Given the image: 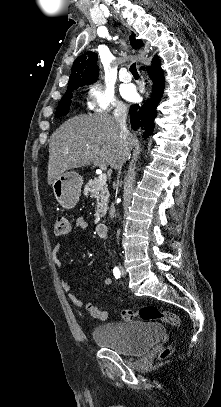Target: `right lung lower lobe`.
Instances as JSON below:
<instances>
[{
  "label": "right lung lower lobe",
  "mask_w": 221,
  "mask_h": 407,
  "mask_svg": "<svg viewBox=\"0 0 221 407\" xmlns=\"http://www.w3.org/2000/svg\"><path fill=\"white\" fill-rule=\"evenodd\" d=\"M141 69L144 70L145 67ZM146 70L153 82L151 98L142 106L138 104L130 106V122L132 129L136 130L141 127L145 130V136H149L154 129L156 107L163 95L165 79L157 56L153 58L152 65L146 67Z\"/></svg>",
  "instance_id": "obj_1"
}]
</instances>
